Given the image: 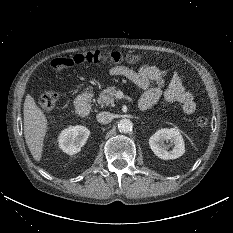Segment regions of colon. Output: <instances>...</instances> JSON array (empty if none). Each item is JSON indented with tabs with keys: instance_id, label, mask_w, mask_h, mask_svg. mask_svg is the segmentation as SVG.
I'll list each match as a JSON object with an SVG mask.
<instances>
[{
	"instance_id": "1",
	"label": "colon",
	"mask_w": 233,
	"mask_h": 233,
	"mask_svg": "<svg viewBox=\"0 0 233 233\" xmlns=\"http://www.w3.org/2000/svg\"><path fill=\"white\" fill-rule=\"evenodd\" d=\"M140 59L141 56L137 54L123 55L120 52L102 53L97 50H88L67 57L55 58L51 61V66L54 69L61 70L84 63H120L123 61L135 63L138 62ZM58 98L59 96L57 92L53 90L44 91L40 94L38 98L39 107L44 111L51 110L56 106ZM196 123L200 128H205L208 125V120L205 117H198Z\"/></svg>"
}]
</instances>
